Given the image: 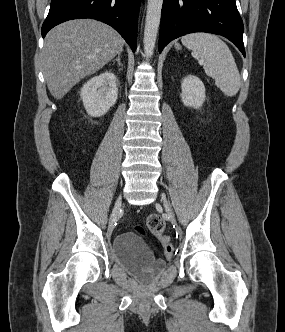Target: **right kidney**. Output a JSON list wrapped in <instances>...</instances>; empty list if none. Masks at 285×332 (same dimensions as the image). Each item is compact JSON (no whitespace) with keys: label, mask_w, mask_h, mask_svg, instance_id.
I'll list each match as a JSON object with an SVG mask.
<instances>
[{"label":"right kidney","mask_w":285,"mask_h":332,"mask_svg":"<svg viewBox=\"0 0 285 332\" xmlns=\"http://www.w3.org/2000/svg\"><path fill=\"white\" fill-rule=\"evenodd\" d=\"M80 96L90 116L105 115L118 98L116 76L106 71L91 78L81 88Z\"/></svg>","instance_id":"right-kidney-1"}]
</instances>
